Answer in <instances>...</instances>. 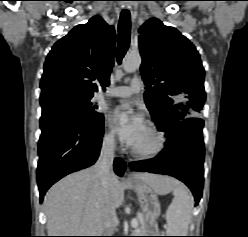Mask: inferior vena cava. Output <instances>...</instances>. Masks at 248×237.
Wrapping results in <instances>:
<instances>
[{"label":"inferior vena cava","instance_id":"1","mask_svg":"<svg viewBox=\"0 0 248 237\" xmlns=\"http://www.w3.org/2000/svg\"><path fill=\"white\" fill-rule=\"evenodd\" d=\"M115 140L113 136L105 137L103 140L100 156L96 162V169L98 171L103 194L105 196V210H104V233L106 236H112L116 229V211L109 199L108 185L109 180L114 174L112 171L114 160Z\"/></svg>","mask_w":248,"mask_h":237}]
</instances>
